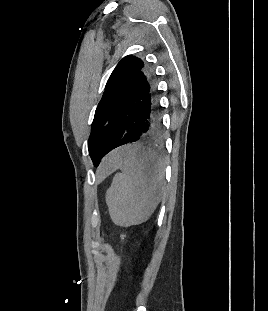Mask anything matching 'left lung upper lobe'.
<instances>
[{"label":"left lung upper lobe","instance_id":"obj_1","mask_svg":"<svg viewBox=\"0 0 268 311\" xmlns=\"http://www.w3.org/2000/svg\"><path fill=\"white\" fill-rule=\"evenodd\" d=\"M146 65L141 58L125 56L110 75L93 119L88 150L94 166L104 157L108 143L121 126L125 106L140 70ZM162 131V130H161Z\"/></svg>","mask_w":268,"mask_h":311}]
</instances>
